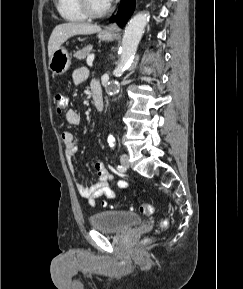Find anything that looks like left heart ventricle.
Masks as SVG:
<instances>
[{"instance_id": "b2bd125f", "label": "left heart ventricle", "mask_w": 243, "mask_h": 289, "mask_svg": "<svg viewBox=\"0 0 243 289\" xmlns=\"http://www.w3.org/2000/svg\"><path fill=\"white\" fill-rule=\"evenodd\" d=\"M91 6L95 10H103L108 6L104 0H90Z\"/></svg>"}]
</instances>
